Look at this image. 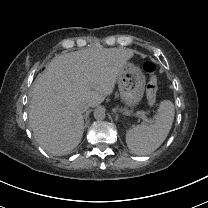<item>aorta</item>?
Returning a JSON list of instances; mask_svg holds the SVG:
<instances>
[{"mask_svg": "<svg viewBox=\"0 0 208 208\" xmlns=\"http://www.w3.org/2000/svg\"><path fill=\"white\" fill-rule=\"evenodd\" d=\"M105 110L103 108H97L95 111H94V118L96 120H104L105 119Z\"/></svg>", "mask_w": 208, "mask_h": 208, "instance_id": "aorta-1", "label": "aorta"}]
</instances>
